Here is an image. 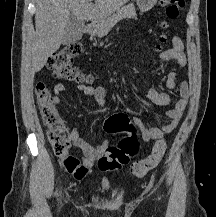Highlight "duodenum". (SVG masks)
<instances>
[{"mask_svg":"<svg viewBox=\"0 0 216 217\" xmlns=\"http://www.w3.org/2000/svg\"><path fill=\"white\" fill-rule=\"evenodd\" d=\"M93 27V23L87 24L85 27L86 32L90 33L93 30Z\"/></svg>","mask_w":216,"mask_h":217,"instance_id":"410a0bca","label":"duodenum"}]
</instances>
